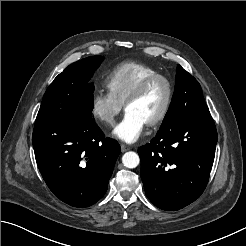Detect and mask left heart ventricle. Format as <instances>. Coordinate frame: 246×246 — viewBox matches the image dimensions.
I'll use <instances>...</instances> for the list:
<instances>
[{
  "mask_svg": "<svg viewBox=\"0 0 246 246\" xmlns=\"http://www.w3.org/2000/svg\"><path fill=\"white\" fill-rule=\"evenodd\" d=\"M167 88L162 80L154 81L136 101L130 103L126 111L139 115L146 123L155 118L162 110Z\"/></svg>",
  "mask_w": 246,
  "mask_h": 246,
  "instance_id": "left-heart-ventricle-1",
  "label": "left heart ventricle"
}]
</instances>
